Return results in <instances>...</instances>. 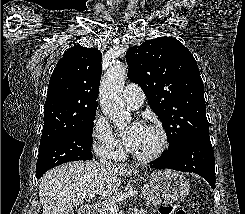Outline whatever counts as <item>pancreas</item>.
<instances>
[{
    "mask_svg": "<svg viewBox=\"0 0 245 214\" xmlns=\"http://www.w3.org/2000/svg\"><path fill=\"white\" fill-rule=\"evenodd\" d=\"M141 190V197L145 200L147 204H152L154 206L163 204L162 199L160 196L155 194L152 189L144 186L140 188ZM125 191H119L116 195L112 196L108 201L102 204L99 208V214H112L111 213V202L116 201L117 198L124 194Z\"/></svg>",
    "mask_w": 245,
    "mask_h": 214,
    "instance_id": "obj_1",
    "label": "pancreas"
}]
</instances>
